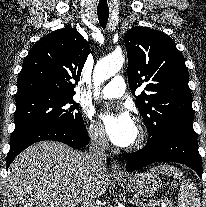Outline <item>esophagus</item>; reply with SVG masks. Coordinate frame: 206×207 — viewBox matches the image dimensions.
<instances>
[{"mask_svg": "<svg viewBox=\"0 0 206 207\" xmlns=\"http://www.w3.org/2000/svg\"><path fill=\"white\" fill-rule=\"evenodd\" d=\"M111 172L114 176H123L124 171L118 162H114L111 167Z\"/></svg>", "mask_w": 206, "mask_h": 207, "instance_id": "obj_1", "label": "esophagus"}]
</instances>
